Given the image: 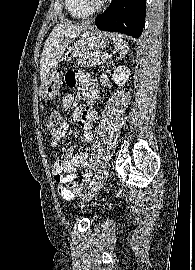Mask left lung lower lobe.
I'll return each instance as SVG.
<instances>
[{"instance_id":"left-lung-lower-lobe-1","label":"left lung lower lobe","mask_w":195,"mask_h":270,"mask_svg":"<svg viewBox=\"0 0 195 270\" xmlns=\"http://www.w3.org/2000/svg\"><path fill=\"white\" fill-rule=\"evenodd\" d=\"M145 15L146 0H112L110 6L95 19V25L100 30L139 38Z\"/></svg>"}]
</instances>
